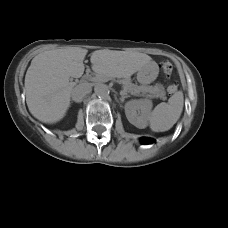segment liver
I'll use <instances>...</instances> for the list:
<instances>
[{"instance_id": "6515ba94", "label": "liver", "mask_w": 228, "mask_h": 228, "mask_svg": "<svg viewBox=\"0 0 228 228\" xmlns=\"http://www.w3.org/2000/svg\"><path fill=\"white\" fill-rule=\"evenodd\" d=\"M86 54V49L72 47L45 51L33 58L25 75L26 103L39 121L51 124L65 116L73 90L70 77L83 75ZM151 60L143 53L111 50L94 51L90 58L98 75L124 79L154 63Z\"/></svg>"}]
</instances>
